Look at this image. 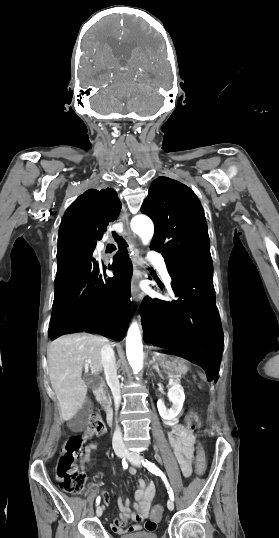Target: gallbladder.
<instances>
[{"label": "gallbladder", "instance_id": "bac80fb5", "mask_svg": "<svg viewBox=\"0 0 279 538\" xmlns=\"http://www.w3.org/2000/svg\"><path fill=\"white\" fill-rule=\"evenodd\" d=\"M85 380L89 383L90 387H101L103 383L101 376H86ZM94 406V401L88 399L85 401L84 406L79 407V414L71 420V425L74 431H79L80 428H85L87 426L90 410L93 409Z\"/></svg>", "mask_w": 279, "mask_h": 538}]
</instances>
